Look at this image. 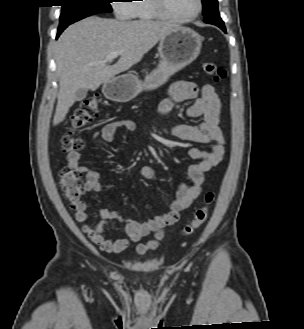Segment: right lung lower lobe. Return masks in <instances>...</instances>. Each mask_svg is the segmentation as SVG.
<instances>
[{
    "mask_svg": "<svg viewBox=\"0 0 304 329\" xmlns=\"http://www.w3.org/2000/svg\"><path fill=\"white\" fill-rule=\"evenodd\" d=\"M64 29H65V28H58V33H57L56 38L59 37V35L62 33V31H63Z\"/></svg>",
    "mask_w": 304,
    "mask_h": 329,
    "instance_id": "98d812e1",
    "label": "right lung lower lobe"
}]
</instances>
